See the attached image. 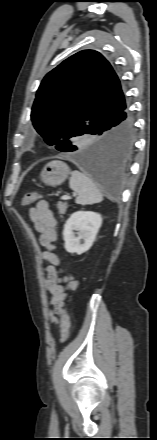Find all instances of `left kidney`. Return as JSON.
<instances>
[{
  "mask_svg": "<svg viewBox=\"0 0 157 440\" xmlns=\"http://www.w3.org/2000/svg\"><path fill=\"white\" fill-rule=\"evenodd\" d=\"M101 225L102 217L98 213L91 211L73 213L66 221L63 230L66 251L78 255L88 251L93 245Z\"/></svg>",
  "mask_w": 157,
  "mask_h": 440,
  "instance_id": "5707ae66",
  "label": "left kidney"
}]
</instances>
